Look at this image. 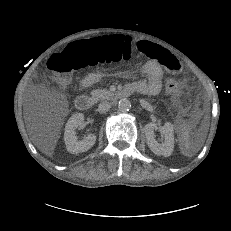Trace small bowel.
Returning a JSON list of instances; mask_svg holds the SVG:
<instances>
[{"label": "small bowel", "instance_id": "c3829d8e", "mask_svg": "<svg viewBox=\"0 0 231 231\" xmlns=\"http://www.w3.org/2000/svg\"><path fill=\"white\" fill-rule=\"evenodd\" d=\"M137 50L149 57V60L140 66L141 72L146 76L145 81H135L130 84L134 91L157 95L162 88L161 77L163 70L166 69L171 73H179L181 71V63L168 50L150 41H139L136 45ZM103 74L101 72H93L85 76L81 81L83 88H89L98 83Z\"/></svg>", "mask_w": 231, "mask_h": 231}]
</instances>
